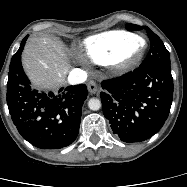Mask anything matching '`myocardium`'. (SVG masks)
I'll use <instances>...</instances> for the list:
<instances>
[{"label":"myocardium","mask_w":187,"mask_h":187,"mask_svg":"<svg viewBox=\"0 0 187 187\" xmlns=\"http://www.w3.org/2000/svg\"><path fill=\"white\" fill-rule=\"evenodd\" d=\"M147 46L144 41L133 48L122 60L117 62L118 67L121 69H129L136 66L142 60Z\"/></svg>","instance_id":"obj_1"}]
</instances>
